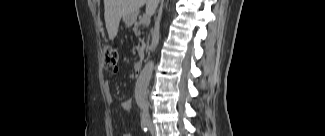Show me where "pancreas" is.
Wrapping results in <instances>:
<instances>
[{"mask_svg":"<svg viewBox=\"0 0 325 136\" xmlns=\"http://www.w3.org/2000/svg\"><path fill=\"white\" fill-rule=\"evenodd\" d=\"M140 27H141L140 24L137 23V24H135L134 28L130 30L131 32L135 33L137 38H139V39L144 37V34L140 33V31H141Z\"/></svg>","mask_w":325,"mask_h":136,"instance_id":"cf45deb5","label":"pancreas"}]
</instances>
